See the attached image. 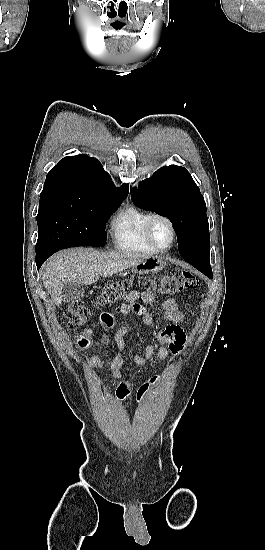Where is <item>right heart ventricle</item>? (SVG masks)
Masks as SVG:
<instances>
[{
	"label": "right heart ventricle",
	"mask_w": 265,
	"mask_h": 550,
	"mask_svg": "<svg viewBox=\"0 0 265 550\" xmlns=\"http://www.w3.org/2000/svg\"><path fill=\"white\" fill-rule=\"evenodd\" d=\"M151 215V212L137 206H129L119 212L110 226L115 246L127 252L155 253L145 236V224Z\"/></svg>",
	"instance_id": "right-heart-ventricle-1"
}]
</instances>
